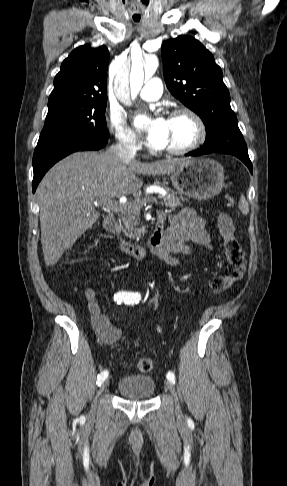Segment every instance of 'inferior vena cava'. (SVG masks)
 <instances>
[{"label": "inferior vena cava", "mask_w": 287, "mask_h": 486, "mask_svg": "<svg viewBox=\"0 0 287 486\" xmlns=\"http://www.w3.org/2000/svg\"><path fill=\"white\" fill-rule=\"evenodd\" d=\"M136 146L133 143V139L129 136L124 137L117 144L110 147V151L113 152L119 158L130 161L133 160L136 154Z\"/></svg>", "instance_id": "602c4592"}]
</instances>
